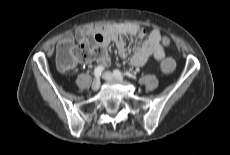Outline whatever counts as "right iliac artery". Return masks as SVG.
Instances as JSON below:
<instances>
[{"label":"right iliac artery","mask_w":230,"mask_h":155,"mask_svg":"<svg viewBox=\"0 0 230 155\" xmlns=\"http://www.w3.org/2000/svg\"><path fill=\"white\" fill-rule=\"evenodd\" d=\"M103 70H104V67H102V66L96 67V68L94 69V76H95L96 78H99V77L101 76Z\"/></svg>","instance_id":"82829eb1"}]
</instances>
